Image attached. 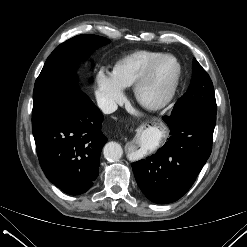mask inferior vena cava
<instances>
[{
	"mask_svg": "<svg viewBox=\"0 0 247 247\" xmlns=\"http://www.w3.org/2000/svg\"><path fill=\"white\" fill-rule=\"evenodd\" d=\"M98 107L104 114H110L117 110V104L111 100L106 98H98L97 99Z\"/></svg>",
	"mask_w": 247,
	"mask_h": 247,
	"instance_id": "602c4592",
	"label": "inferior vena cava"
}]
</instances>
